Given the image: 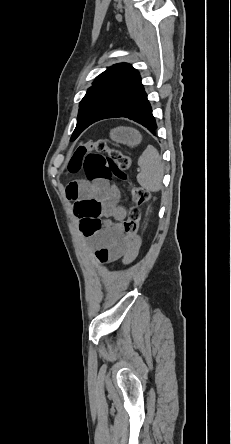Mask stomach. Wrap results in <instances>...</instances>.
Segmentation results:
<instances>
[{"label":"stomach","instance_id":"1","mask_svg":"<svg viewBox=\"0 0 231 444\" xmlns=\"http://www.w3.org/2000/svg\"><path fill=\"white\" fill-rule=\"evenodd\" d=\"M110 137L116 143L124 144L127 146H136L141 142V134L132 128L118 127L110 132Z\"/></svg>","mask_w":231,"mask_h":444}]
</instances>
